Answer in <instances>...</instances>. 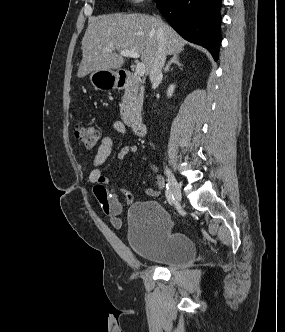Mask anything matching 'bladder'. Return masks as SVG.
I'll use <instances>...</instances> for the list:
<instances>
[{
  "instance_id": "bladder-1",
  "label": "bladder",
  "mask_w": 285,
  "mask_h": 332,
  "mask_svg": "<svg viewBox=\"0 0 285 332\" xmlns=\"http://www.w3.org/2000/svg\"><path fill=\"white\" fill-rule=\"evenodd\" d=\"M127 223L128 244L137 257L170 268L186 267L195 261L194 242L186 234L173 230L169 214L158 202L132 205Z\"/></svg>"
}]
</instances>
